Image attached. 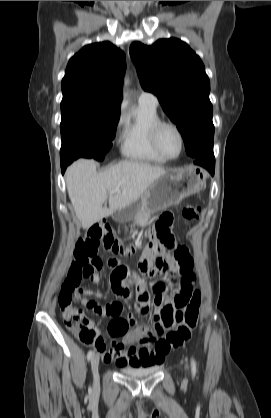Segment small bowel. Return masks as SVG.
<instances>
[{
  "label": "small bowel",
  "instance_id": "1",
  "mask_svg": "<svg viewBox=\"0 0 271 418\" xmlns=\"http://www.w3.org/2000/svg\"><path fill=\"white\" fill-rule=\"evenodd\" d=\"M101 267L102 264L98 269ZM171 271L179 273L177 261L173 257L159 255L151 245L145 250L144 259L139 262L138 269L131 272L127 266L118 265L111 270V290L119 299H107L106 305H101L99 299H93L91 302L86 299L81 300L82 304L92 308L95 314H102L106 332L110 333L111 338L114 339L111 348L106 349L104 343L97 348L105 363L114 362L121 367H145L160 365L164 361L170 349L161 350L157 347L161 337L156 333V329L162 325L163 310L166 308L175 310V299L173 301L168 296L166 284L155 283L153 286L155 292L153 304L156 308L154 332L146 324L136 327L138 325L136 320L129 319L128 314H122L123 300L130 301L138 313H148L152 305L145 286L148 278L156 274L166 276ZM92 281H98L97 273ZM192 281L187 284L191 289ZM131 285L137 288L135 297L130 293ZM170 286L173 287L175 298L182 295L181 283L179 286H173L170 283ZM91 294L96 298H102V293L99 291H93ZM134 327L136 328L129 330Z\"/></svg>",
  "mask_w": 271,
  "mask_h": 418
}]
</instances>
